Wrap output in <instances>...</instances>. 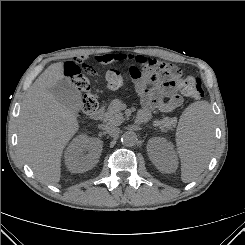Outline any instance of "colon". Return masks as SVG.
Here are the masks:
<instances>
[{
    "instance_id": "colon-1",
    "label": "colon",
    "mask_w": 245,
    "mask_h": 245,
    "mask_svg": "<svg viewBox=\"0 0 245 245\" xmlns=\"http://www.w3.org/2000/svg\"><path fill=\"white\" fill-rule=\"evenodd\" d=\"M82 68L88 74H97L96 70L92 66L84 64V58L80 57L65 65L64 75L82 93L81 113L91 114L97 109L98 103L91 93L90 82L82 73ZM129 73L131 76L136 75L138 70L134 67H129ZM104 77L106 87L111 90L122 87L125 82L124 76L115 69L108 70ZM151 80H167L176 85L184 96L194 100H199L204 95L201 80L194 77H184L181 70L174 65L155 62L151 73Z\"/></svg>"
}]
</instances>
